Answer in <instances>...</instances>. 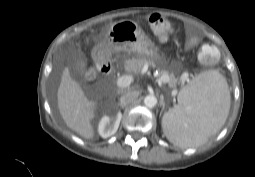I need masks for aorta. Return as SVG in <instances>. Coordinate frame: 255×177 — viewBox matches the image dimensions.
I'll list each match as a JSON object with an SVG mask.
<instances>
[{
    "label": "aorta",
    "mask_w": 255,
    "mask_h": 177,
    "mask_svg": "<svg viewBox=\"0 0 255 177\" xmlns=\"http://www.w3.org/2000/svg\"><path fill=\"white\" fill-rule=\"evenodd\" d=\"M144 104L148 108H153L157 104V98L154 95H147L144 98Z\"/></svg>",
    "instance_id": "762f6f07"
}]
</instances>
